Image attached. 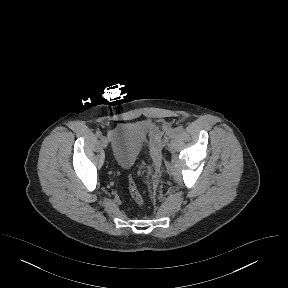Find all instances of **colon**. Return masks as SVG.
Segmentation results:
<instances>
[{"instance_id": "5ec220e1", "label": "colon", "mask_w": 288, "mask_h": 288, "mask_svg": "<svg viewBox=\"0 0 288 288\" xmlns=\"http://www.w3.org/2000/svg\"><path fill=\"white\" fill-rule=\"evenodd\" d=\"M127 181H128V190L131 198L138 206H142L144 203V199L139 189L136 187L133 179L129 176Z\"/></svg>"}]
</instances>
